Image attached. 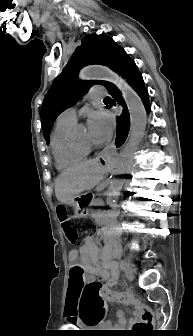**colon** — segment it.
<instances>
[{
	"label": "colon",
	"mask_w": 193,
	"mask_h": 336,
	"mask_svg": "<svg viewBox=\"0 0 193 336\" xmlns=\"http://www.w3.org/2000/svg\"><path fill=\"white\" fill-rule=\"evenodd\" d=\"M58 216L61 221L62 228L64 230L67 240L72 244L80 242V235L86 228L91 226L90 221H85L82 224H78L74 221L73 216L63 207L58 209ZM79 270H74V275L77 278L79 285V296L81 295V301L79 304V313L81 319L84 322H98V319H93L91 314L94 313V309L89 305L90 300L97 299L103 294V285L99 281L84 282L82 279H78ZM133 307L139 313V320L133 326L131 330L132 336H142L153 328L154 325V312L151 308L144 304H133Z\"/></svg>",
	"instance_id": "colon-1"
}]
</instances>
